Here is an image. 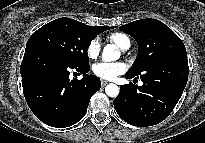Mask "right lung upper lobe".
<instances>
[{"label": "right lung upper lobe", "instance_id": "cb5924a9", "mask_svg": "<svg viewBox=\"0 0 205 143\" xmlns=\"http://www.w3.org/2000/svg\"><path fill=\"white\" fill-rule=\"evenodd\" d=\"M90 28L92 29L93 32H95L96 34H99L103 31H106L108 29H110L111 27H105V26H90Z\"/></svg>", "mask_w": 205, "mask_h": 143}]
</instances>
